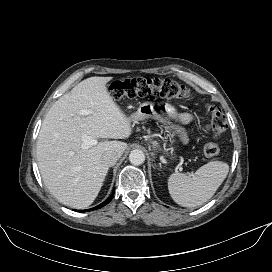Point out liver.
I'll return each mask as SVG.
<instances>
[{"mask_svg": "<svg viewBox=\"0 0 272 272\" xmlns=\"http://www.w3.org/2000/svg\"><path fill=\"white\" fill-rule=\"evenodd\" d=\"M112 77H90L60 97L47 112L37 140L38 167L45 186L62 204L84 209L97 197L109 166L102 156H121L127 143L99 142L82 148V137L125 139L131 120L110 96L106 84ZM90 110L80 115V110ZM72 152V155L70 154Z\"/></svg>", "mask_w": 272, "mask_h": 272, "instance_id": "6515ba94", "label": "liver"}]
</instances>
